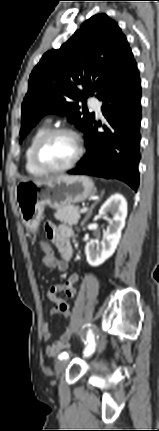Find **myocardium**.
Returning <instances> with one entry per match:
<instances>
[{
  "instance_id": "myocardium-1",
  "label": "myocardium",
  "mask_w": 159,
  "mask_h": 431,
  "mask_svg": "<svg viewBox=\"0 0 159 431\" xmlns=\"http://www.w3.org/2000/svg\"><path fill=\"white\" fill-rule=\"evenodd\" d=\"M59 134H68L70 135L75 143H76V154L74 158L65 166L62 167H51L48 164H46L42 158H41V151L45 143L51 139L52 137L59 135ZM84 154V147L82 140L78 133L74 131L71 128L68 127H55L48 129L46 132H44L41 137L36 141L34 148H33V160L34 163L44 172L46 173H63L70 169H72L82 158Z\"/></svg>"
}]
</instances>
